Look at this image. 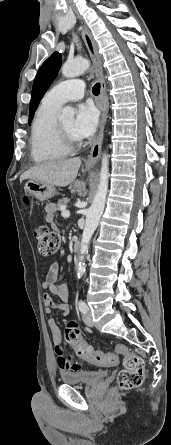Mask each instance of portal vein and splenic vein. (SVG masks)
I'll list each match as a JSON object with an SVG mask.
<instances>
[{
	"label": "portal vein and splenic vein",
	"instance_id": "18ae733b",
	"mask_svg": "<svg viewBox=\"0 0 171 445\" xmlns=\"http://www.w3.org/2000/svg\"><path fill=\"white\" fill-rule=\"evenodd\" d=\"M61 215L63 218H69L70 212L68 210L62 209Z\"/></svg>",
	"mask_w": 171,
	"mask_h": 445
}]
</instances>
